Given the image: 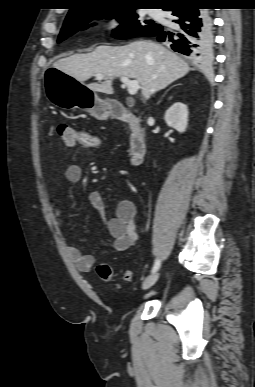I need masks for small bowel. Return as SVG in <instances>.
I'll use <instances>...</instances> for the list:
<instances>
[{
  "mask_svg": "<svg viewBox=\"0 0 255 387\" xmlns=\"http://www.w3.org/2000/svg\"><path fill=\"white\" fill-rule=\"evenodd\" d=\"M82 178V168L77 164L69 165L65 170V179L68 184L75 185ZM56 195V192H54ZM89 202L100 219L104 221V201L98 191L89 194ZM52 214L60 230H68L69 220L56 205V199L52 202ZM107 234L112 239L114 250L123 252L136 245L138 233L136 230V206L131 200L119 202L115 208L114 215L104 221ZM68 253L76 268L81 272H89L95 263V258L89 254H83L74 246L68 247Z\"/></svg>",
  "mask_w": 255,
  "mask_h": 387,
  "instance_id": "small-bowel-1",
  "label": "small bowel"
}]
</instances>
